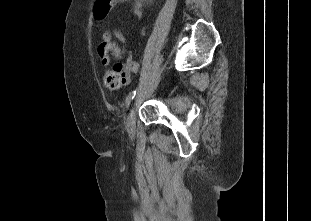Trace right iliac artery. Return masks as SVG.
Returning <instances> with one entry per match:
<instances>
[{
  "instance_id": "1",
  "label": "right iliac artery",
  "mask_w": 311,
  "mask_h": 221,
  "mask_svg": "<svg viewBox=\"0 0 311 221\" xmlns=\"http://www.w3.org/2000/svg\"><path fill=\"white\" fill-rule=\"evenodd\" d=\"M135 95H136V90H134V91L129 93V95L126 98V102H125L126 103V107L130 106V104H131L133 98L135 97Z\"/></svg>"
}]
</instances>
